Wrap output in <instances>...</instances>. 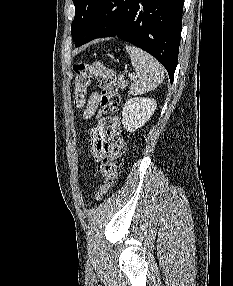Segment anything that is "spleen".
<instances>
[{
	"label": "spleen",
	"instance_id": "1",
	"mask_svg": "<svg viewBox=\"0 0 233 286\" xmlns=\"http://www.w3.org/2000/svg\"><path fill=\"white\" fill-rule=\"evenodd\" d=\"M136 76L131 84L130 93L141 95L155 89L164 79L163 66L142 49L126 45Z\"/></svg>",
	"mask_w": 233,
	"mask_h": 286
}]
</instances>
